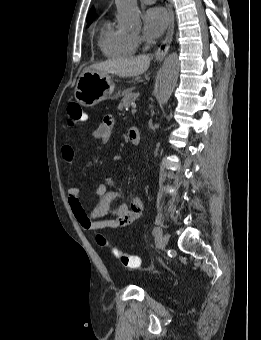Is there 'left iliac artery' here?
I'll use <instances>...</instances> for the list:
<instances>
[{"label": "left iliac artery", "instance_id": "44dca946", "mask_svg": "<svg viewBox=\"0 0 261 340\" xmlns=\"http://www.w3.org/2000/svg\"><path fill=\"white\" fill-rule=\"evenodd\" d=\"M153 235L155 236V237H159V236H161L162 235V230L160 229V228H155L154 230H153Z\"/></svg>", "mask_w": 261, "mask_h": 340}]
</instances>
